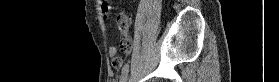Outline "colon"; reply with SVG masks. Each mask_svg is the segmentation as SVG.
<instances>
[{"label": "colon", "mask_w": 279, "mask_h": 82, "mask_svg": "<svg viewBox=\"0 0 279 82\" xmlns=\"http://www.w3.org/2000/svg\"><path fill=\"white\" fill-rule=\"evenodd\" d=\"M129 17L125 13H120L117 18L118 26L123 28L129 25Z\"/></svg>", "instance_id": "obj_1"}]
</instances>
